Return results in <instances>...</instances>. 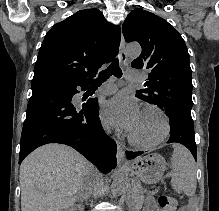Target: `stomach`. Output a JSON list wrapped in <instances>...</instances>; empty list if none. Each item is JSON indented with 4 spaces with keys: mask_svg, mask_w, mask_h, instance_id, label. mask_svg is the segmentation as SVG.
Masks as SVG:
<instances>
[{
    "mask_svg": "<svg viewBox=\"0 0 219 211\" xmlns=\"http://www.w3.org/2000/svg\"><path fill=\"white\" fill-rule=\"evenodd\" d=\"M166 166V161L161 155L152 153L133 160L127 169L139 177L142 182L154 184L162 178Z\"/></svg>",
    "mask_w": 219,
    "mask_h": 211,
    "instance_id": "obj_1",
    "label": "stomach"
}]
</instances>
